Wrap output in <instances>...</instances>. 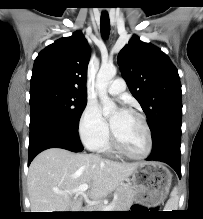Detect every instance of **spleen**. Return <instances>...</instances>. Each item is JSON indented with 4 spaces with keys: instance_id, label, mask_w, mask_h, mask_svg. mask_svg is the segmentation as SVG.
Wrapping results in <instances>:
<instances>
[{
    "instance_id": "spleen-1",
    "label": "spleen",
    "mask_w": 203,
    "mask_h": 219,
    "mask_svg": "<svg viewBox=\"0 0 203 219\" xmlns=\"http://www.w3.org/2000/svg\"><path fill=\"white\" fill-rule=\"evenodd\" d=\"M178 199H179L178 188L175 187L170 194V199L166 203V206H165V208L167 209L166 211L177 210Z\"/></svg>"
}]
</instances>
